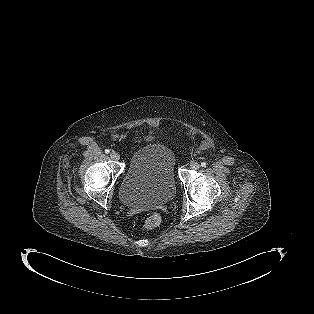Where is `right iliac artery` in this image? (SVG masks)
Segmentation results:
<instances>
[{"label": "right iliac artery", "instance_id": "82829eb1", "mask_svg": "<svg viewBox=\"0 0 314 314\" xmlns=\"http://www.w3.org/2000/svg\"><path fill=\"white\" fill-rule=\"evenodd\" d=\"M105 153H106V154H109V153H110V150H109V149H106V150H105Z\"/></svg>", "mask_w": 314, "mask_h": 314}]
</instances>
